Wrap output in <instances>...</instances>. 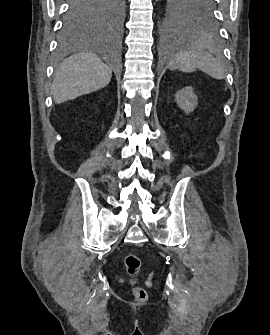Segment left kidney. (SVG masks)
<instances>
[{
  "label": "left kidney",
  "mask_w": 270,
  "mask_h": 335,
  "mask_svg": "<svg viewBox=\"0 0 270 335\" xmlns=\"http://www.w3.org/2000/svg\"><path fill=\"white\" fill-rule=\"evenodd\" d=\"M197 96L194 94L193 88L191 86H186V88H182L179 92L175 94V102H177L179 108L184 110L186 114H190V112H194L197 106Z\"/></svg>",
  "instance_id": "5707ae66"
}]
</instances>
